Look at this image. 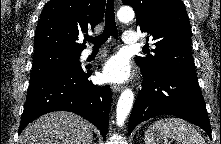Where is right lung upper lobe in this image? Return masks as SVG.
<instances>
[{
  "mask_svg": "<svg viewBox=\"0 0 221 144\" xmlns=\"http://www.w3.org/2000/svg\"><path fill=\"white\" fill-rule=\"evenodd\" d=\"M105 0H51L43 8L34 37L35 53L76 52L86 47L78 36L93 30L104 15Z\"/></svg>",
  "mask_w": 221,
  "mask_h": 144,
  "instance_id": "right-lung-upper-lobe-1",
  "label": "right lung upper lobe"
}]
</instances>
